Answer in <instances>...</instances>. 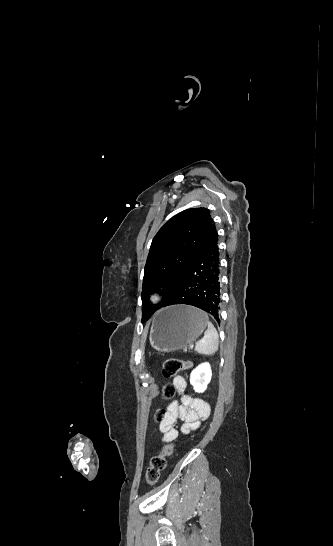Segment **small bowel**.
Wrapping results in <instances>:
<instances>
[{"instance_id": "1", "label": "small bowel", "mask_w": 333, "mask_h": 546, "mask_svg": "<svg viewBox=\"0 0 333 546\" xmlns=\"http://www.w3.org/2000/svg\"><path fill=\"white\" fill-rule=\"evenodd\" d=\"M173 387L180 395V402L172 401L159 422V431L162 442L174 441L180 431L189 433L200 427L201 423L208 419L210 406L207 402L187 395V381L183 376L173 378ZM182 422V427H177V422Z\"/></svg>"}]
</instances>
